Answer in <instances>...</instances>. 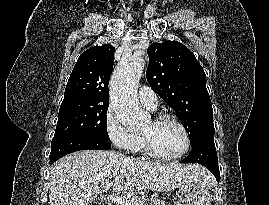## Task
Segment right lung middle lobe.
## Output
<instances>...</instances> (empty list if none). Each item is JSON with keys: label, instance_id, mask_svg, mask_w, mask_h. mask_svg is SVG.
<instances>
[{"label": "right lung middle lobe", "instance_id": "right-lung-middle-lobe-1", "mask_svg": "<svg viewBox=\"0 0 269 205\" xmlns=\"http://www.w3.org/2000/svg\"><path fill=\"white\" fill-rule=\"evenodd\" d=\"M109 104L60 106L56 136L80 134L109 141L106 113Z\"/></svg>", "mask_w": 269, "mask_h": 205}]
</instances>
